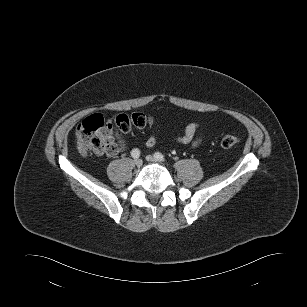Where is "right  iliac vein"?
<instances>
[{
    "instance_id": "1",
    "label": "right iliac vein",
    "mask_w": 307,
    "mask_h": 307,
    "mask_svg": "<svg viewBox=\"0 0 307 307\" xmlns=\"http://www.w3.org/2000/svg\"><path fill=\"white\" fill-rule=\"evenodd\" d=\"M134 164L136 167H141L143 164V161L141 159H135Z\"/></svg>"
}]
</instances>
